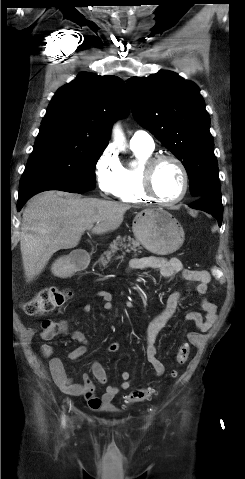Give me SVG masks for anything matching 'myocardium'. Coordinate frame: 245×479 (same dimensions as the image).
Returning a JSON list of instances; mask_svg holds the SVG:
<instances>
[{"label":"myocardium","instance_id":"f54148a6","mask_svg":"<svg viewBox=\"0 0 245 479\" xmlns=\"http://www.w3.org/2000/svg\"><path fill=\"white\" fill-rule=\"evenodd\" d=\"M173 162L175 163L183 177V188L182 192L174 200L166 201L163 200L156 192L155 187H154V177L155 173L158 169V167L163 163V162ZM141 186L143 192L146 194L148 198L151 200L155 201L156 203L163 205V206H172L175 204L180 203L187 195L188 190H189V174L188 170L183 163V161L171 154H157L154 156H151L143 165L142 167V173H141Z\"/></svg>","mask_w":245,"mask_h":479}]
</instances>
